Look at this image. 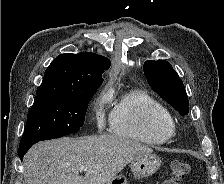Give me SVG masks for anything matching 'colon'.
Masks as SVG:
<instances>
[{"instance_id":"1","label":"colon","mask_w":224,"mask_h":184,"mask_svg":"<svg viewBox=\"0 0 224 184\" xmlns=\"http://www.w3.org/2000/svg\"><path fill=\"white\" fill-rule=\"evenodd\" d=\"M191 172V167L188 163L175 160L170 165V174L162 184H179Z\"/></svg>"}]
</instances>
